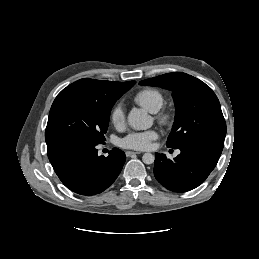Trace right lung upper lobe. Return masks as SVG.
<instances>
[{
    "mask_svg": "<svg viewBox=\"0 0 259 259\" xmlns=\"http://www.w3.org/2000/svg\"><path fill=\"white\" fill-rule=\"evenodd\" d=\"M132 82L135 81L115 82L84 78L70 84L61 93H77L99 102H109L120 98Z\"/></svg>",
    "mask_w": 259,
    "mask_h": 259,
    "instance_id": "cb5924a9",
    "label": "right lung upper lobe"
}]
</instances>
